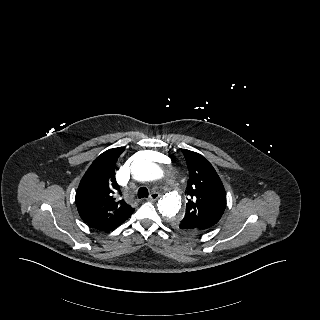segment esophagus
<instances>
[{"label": "esophagus", "mask_w": 320, "mask_h": 320, "mask_svg": "<svg viewBox=\"0 0 320 320\" xmlns=\"http://www.w3.org/2000/svg\"><path fill=\"white\" fill-rule=\"evenodd\" d=\"M160 197V194L157 192L151 193V195L148 197L149 201H156Z\"/></svg>", "instance_id": "esophagus-1"}]
</instances>
